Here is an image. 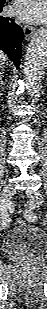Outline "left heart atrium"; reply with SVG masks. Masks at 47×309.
<instances>
[{"label":"left heart atrium","mask_w":47,"mask_h":309,"mask_svg":"<svg viewBox=\"0 0 47 309\" xmlns=\"http://www.w3.org/2000/svg\"><path fill=\"white\" fill-rule=\"evenodd\" d=\"M13 13L26 22H42L46 17L45 0H16Z\"/></svg>","instance_id":"left-heart-atrium-1"}]
</instances>
